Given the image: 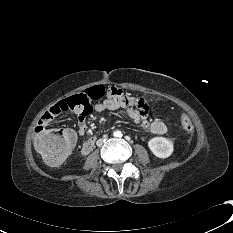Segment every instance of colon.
Listing matches in <instances>:
<instances>
[{
    "label": "colon",
    "instance_id": "5ec220e1",
    "mask_svg": "<svg viewBox=\"0 0 233 233\" xmlns=\"http://www.w3.org/2000/svg\"><path fill=\"white\" fill-rule=\"evenodd\" d=\"M109 89L102 85L91 86L84 92L75 94L62 101L64 109H77L88 112L93 104L101 100L105 95H108ZM178 120L187 134L193 133L194 126L186 112H181L178 115ZM34 146L47 165L59 167L66 161L73 150V133L68 129L52 130L36 128Z\"/></svg>",
    "mask_w": 233,
    "mask_h": 233
}]
</instances>
